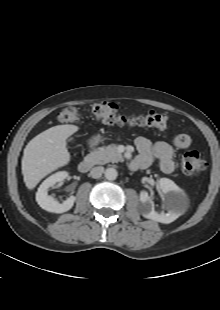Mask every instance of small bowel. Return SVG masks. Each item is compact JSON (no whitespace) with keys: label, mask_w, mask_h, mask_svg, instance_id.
Here are the masks:
<instances>
[{"label":"small bowel","mask_w":220,"mask_h":310,"mask_svg":"<svg viewBox=\"0 0 220 310\" xmlns=\"http://www.w3.org/2000/svg\"><path fill=\"white\" fill-rule=\"evenodd\" d=\"M191 145V137L188 134L176 135L172 142H151L146 137H138L136 146L139 155L132 161L130 167L133 170L149 167L154 161H158L162 172L169 174L174 171V152L176 149H186Z\"/></svg>","instance_id":"1"}]
</instances>
